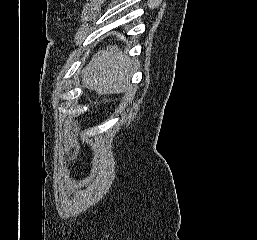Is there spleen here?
Here are the masks:
<instances>
[{"mask_svg":"<svg viewBox=\"0 0 257 240\" xmlns=\"http://www.w3.org/2000/svg\"><path fill=\"white\" fill-rule=\"evenodd\" d=\"M136 69V61L112 46L92 59L86 68L87 83L99 93H122L132 89L129 81Z\"/></svg>","mask_w":257,"mask_h":240,"instance_id":"obj_1","label":"spleen"}]
</instances>
